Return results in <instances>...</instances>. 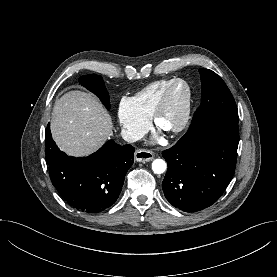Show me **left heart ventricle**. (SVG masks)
I'll list each match as a JSON object with an SVG mask.
<instances>
[{
    "instance_id": "1",
    "label": "left heart ventricle",
    "mask_w": 277,
    "mask_h": 277,
    "mask_svg": "<svg viewBox=\"0 0 277 277\" xmlns=\"http://www.w3.org/2000/svg\"><path fill=\"white\" fill-rule=\"evenodd\" d=\"M185 94L183 85H177L172 90L168 104L159 120V128L162 131H167L178 123Z\"/></svg>"
}]
</instances>
